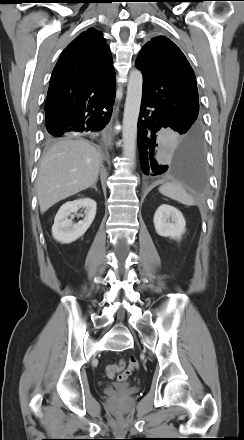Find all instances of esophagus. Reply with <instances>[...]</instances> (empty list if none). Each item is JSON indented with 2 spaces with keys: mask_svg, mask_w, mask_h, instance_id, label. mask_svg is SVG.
<instances>
[{
  "mask_svg": "<svg viewBox=\"0 0 244 440\" xmlns=\"http://www.w3.org/2000/svg\"><path fill=\"white\" fill-rule=\"evenodd\" d=\"M104 134H105V137H106V143H107V145L110 146L112 144V140H113V130H112V127L109 126Z\"/></svg>",
  "mask_w": 244,
  "mask_h": 440,
  "instance_id": "34e87169",
  "label": "esophagus"
}]
</instances>
